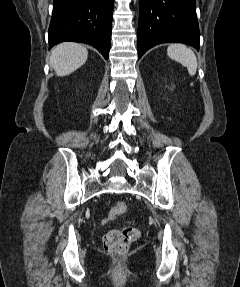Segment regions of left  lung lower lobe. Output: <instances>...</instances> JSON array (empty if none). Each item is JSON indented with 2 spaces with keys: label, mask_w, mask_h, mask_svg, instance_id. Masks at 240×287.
<instances>
[{
  "label": "left lung lower lobe",
  "mask_w": 240,
  "mask_h": 287,
  "mask_svg": "<svg viewBox=\"0 0 240 287\" xmlns=\"http://www.w3.org/2000/svg\"><path fill=\"white\" fill-rule=\"evenodd\" d=\"M138 57L161 43H185L199 50L196 0H139Z\"/></svg>",
  "instance_id": "0a47b994"
}]
</instances>
